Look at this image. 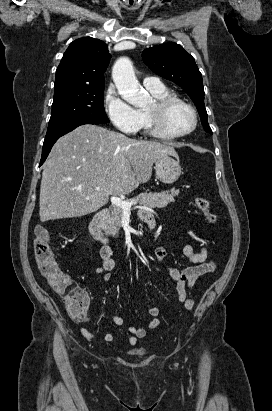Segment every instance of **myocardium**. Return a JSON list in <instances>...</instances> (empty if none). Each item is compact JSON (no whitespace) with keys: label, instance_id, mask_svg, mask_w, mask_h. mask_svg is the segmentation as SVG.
Segmentation results:
<instances>
[{"label":"myocardium","instance_id":"f54148a6","mask_svg":"<svg viewBox=\"0 0 272 411\" xmlns=\"http://www.w3.org/2000/svg\"><path fill=\"white\" fill-rule=\"evenodd\" d=\"M175 105H183L186 107L191 112L193 118L191 127L181 133L169 132L165 127V118L169 110ZM146 116L150 132L163 140H176L186 137L191 134L198 125V114L195 108L186 100L175 96L156 99L152 107L146 110Z\"/></svg>","mask_w":272,"mask_h":411}]
</instances>
